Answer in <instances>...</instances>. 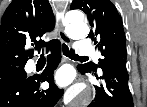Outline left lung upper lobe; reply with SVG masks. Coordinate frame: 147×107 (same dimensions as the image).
Wrapping results in <instances>:
<instances>
[{"label": "left lung upper lobe", "mask_w": 147, "mask_h": 107, "mask_svg": "<svg viewBox=\"0 0 147 107\" xmlns=\"http://www.w3.org/2000/svg\"><path fill=\"white\" fill-rule=\"evenodd\" d=\"M70 9H80L87 14L91 31L89 38L95 43V49L101 51L99 67L114 58L127 59L126 41L122 19L110 0H74ZM89 71L96 72L93 63L79 65Z\"/></svg>", "instance_id": "1"}]
</instances>
